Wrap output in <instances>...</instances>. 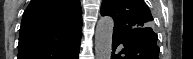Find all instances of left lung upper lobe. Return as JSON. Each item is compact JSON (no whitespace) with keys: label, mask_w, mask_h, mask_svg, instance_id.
I'll list each match as a JSON object with an SVG mask.
<instances>
[{"label":"left lung upper lobe","mask_w":193,"mask_h":59,"mask_svg":"<svg viewBox=\"0 0 193 59\" xmlns=\"http://www.w3.org/2000/svg\"><path fill=\"white\" fill-rule=\"evenodd\" d=\"M101 14L114 19L115 30H152L153 17L143 0H103Z\"/></svg>","instance_id":"obj_1"}]
</instances>
